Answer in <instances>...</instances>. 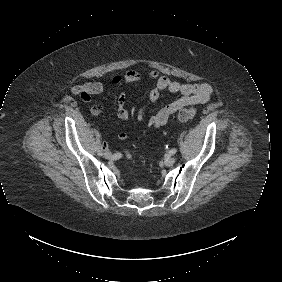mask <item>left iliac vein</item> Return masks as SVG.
I'll use <instances>...</instances> for the list:
<instances>
[{"label": "left iliac vein", "mask_w": 282, "mask_h": 282, "mask_svg": "<svg viewBox=\"0 0 282 282\" xmlns=\"http://www.w3.org/2000/svg\"><path fill=\"white\" fill-rule=\"evenodd\" d=\"M176 159L173 156H167L164 160L166 166H172L175 163Z\"/></svg>", "instance_id": "1"}]
</instances>
